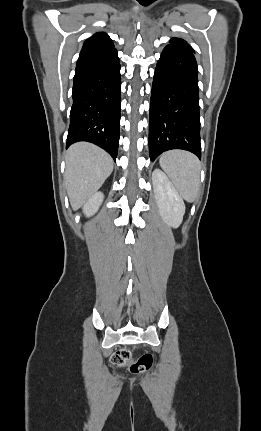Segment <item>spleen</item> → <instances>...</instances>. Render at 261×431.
I'll return each mask as SVG.
<instances>
[{
  "instance_id": "1",
  "label": "spleen",
  "mask_w": 261,
  "mask_h": 431,
  "mask_svg": "<svg viewBox=\"0 0 261 431\" xmlns=\"http://www.w3.org/2000/svg\"><path fill=\"white\" fill-rule=\"evenodd\" d=\"M159 163L180 196L187 202H193L200 186V163L197 157L187 151L172 150L163 153Z\"/></svg>"
}]
</instances>
